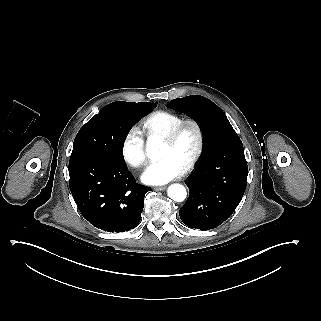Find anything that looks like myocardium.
<instances>
[{"mask_svg": "<svg viewBox=\"0 0 321 321\" xmlns=\"http://www.w3.org/2000/svg\"><path fill=\"white\" fill-rule=\"evenodd\" d=\"M188 126H193L197 133L196 149L184 167V172L187 173L195 168L200 161L205 147V134L201 123L196 119H185L176 125L169 133L163 135L161 138L169 144L175 145L180 139L184 129Z\"/></svg>", "mask_w": 321, "mask_h": 321, "instance_id": "1", "label": "myocardium"}]
</instances>
